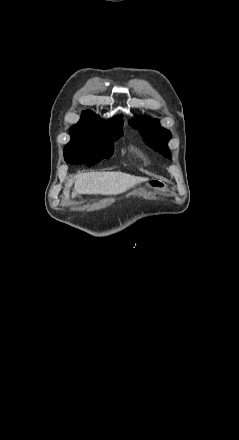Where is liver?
Masks as SVG:
<instances>
[{
  "label": "liver",
  "instance_id": "6515ba94",
  "mask_svg": "<svg viewBox=\"0 0 239 440\" xmlns=\"http://www.w3.org/2000/svg\"><path fill=\"white\" fill-rule=\"evenodd\" d=\"M148 178H138L130 176L123 172H87V174H78L72 180L65 184L64 194L69 196V190L74 182L72 198L77 194H103V196H116L123 194L136 184L147 182Z\"/></svg>",
  "mask_w": 239,
  "mask_h": 440
}]
</instances>
